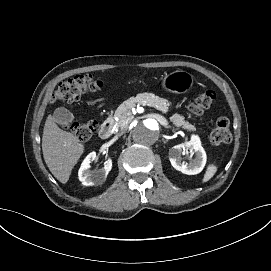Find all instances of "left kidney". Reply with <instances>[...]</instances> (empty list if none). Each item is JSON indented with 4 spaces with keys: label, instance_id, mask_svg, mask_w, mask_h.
I'll use <instances>...</instances> for the list:
<instances>
[{
    "label": "left kidney",
    "instance_id": "obj_1",
    "mask_svg": "<svg viewBox=\"0 0 271 271\" xmlns=\"http://www.w3.org/2000/svg\"><path fill=\"white\" fill-rule=\"evenodd\" d=\"M183 149L193 150L196 153L195 159L190 164L182 162L181 154ZM169 160L171 165L183 174L194 175L199 173L206 163V153L201 146L199 136L193 134L190 141L172 147L169 150Z\"/></svg>",
    "mask_w": 271,
    "mask_h": 271
}]
</instances>
